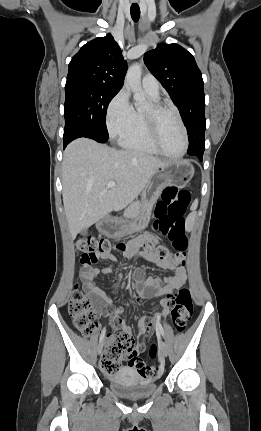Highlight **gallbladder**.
Wrapping results in <instances>:
<instances>
[{"label":"gallbladder","mask_w":261,"mask_h":431,"mask_svg":"<svg viewBox=\"0 0 261 431\" xmlns=\"http://www.w3.org/2000/svg\"><path fill=\"white\" fill-rule=\"evenodd\" d=\"M87 233V229H84L81 234L85 235Z\"/></svg>","instance_id":"gallbladder-1"}]
</instances>
